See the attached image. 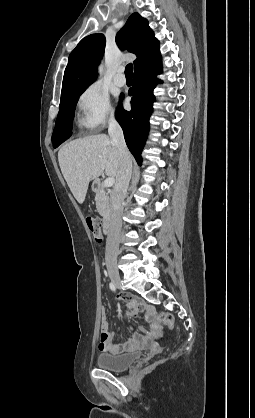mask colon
<instances>
[{"label":"colon","mask_w":255,"mask_h":418,"mask_svg":"<svg viewBox=\"0 0 255 418\" xmlns=\"http://www.w3.org/2000/svg\"><path fill=\"white\" fill-rule=\"evenodd\" d=\"M86 223L90 232L92 233L94 240L97 243H102L104 237L102 234L100 222L92 215H87ZM150 320H151V328L156 333H160L164 327L172 328L174 324L173 316L167 312H162L158 314L152 313Z\"/></svg>","instance_id":"colon-1"}]
</instances>
